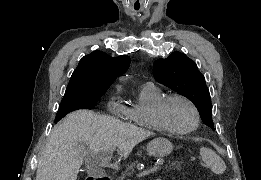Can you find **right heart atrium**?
I'll list each match as a JSON object with an SVG mask.
<instances>
[{"instance_id":"obj_1","label":"right heart atrium","mask_w":261,"mask_h":180,"mask_svg":"<svg viewBox=\"0 0 261 180\" xmlns=\"http://www.w3.org/2000/svg\"><path fill=\"white\" fill-rule=\"evenodd\" d=\"M111 99H115V94H113V96L111 97ZM114 114H119V117L123 118L122 113H121L120 111L114 112ZM121 120H122V119H121ZM123 127H124V125H123Z\"/></svg>"}]
</instances>
